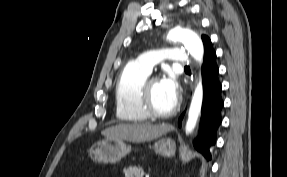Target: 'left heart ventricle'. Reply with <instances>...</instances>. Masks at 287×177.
Wrapping results in <instances>:
<instances>
[{"mask_svg":"<svg viewBox=\"0 0 287 177\" xmlns=\"http://www.w3.org/2000/svg\"><path fill=\"white\" fill-rule=\"evenodd\" d=\"M151 97L154 108L159 112L170 110L176 102V99L163 87L161 81L152 84Z\"/></svg>","mask_w":287,"mask_h":177,"instance_id":"obj_1","label":"left heart ventricle"}]
</instances>
